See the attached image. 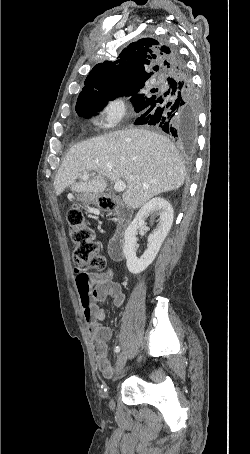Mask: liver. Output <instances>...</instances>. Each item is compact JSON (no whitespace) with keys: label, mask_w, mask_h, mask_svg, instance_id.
<instances>
[{"label":"liver","mask_w":250,"mask_h":454,"mask_svg":"<svg viewBox=\"0 0 250 454\" xmlns=\"http://www.w3.org/2000/svg\"><path fill=\"white\" fill-rule=\"evenodd\" d=\"M91 172V180L77 181ZM186 168L173 143L146 129H128L94 137L74 145L64 158L54 181L60 195L66 188L76 193L104 192L106 178L126 183L122 199L134 209L163 192L180 188Z\"/></svg>","instance_id":"6515ba94"}]
</instances>
